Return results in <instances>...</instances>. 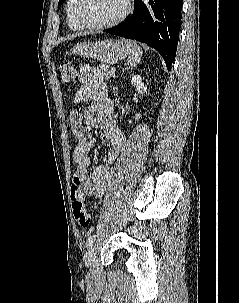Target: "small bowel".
<instances>
[{
    "instance_id": "1",
    "label": "small bowel",
    "mask_w": 239,
    "mask_h": 303,
    "mask_svg": "<svg viewBox=\"0 0 239 303\" xmlns=\"http://www.w3.org/2000/svg\"><path fill=\"white\" fill-rule=\"evenodd\" d=\"M80 83L81 85L74 96V103L80 105L85 102H93V105L84 115V122L87 126L96 124L101 126L112 147L107 155L108 163H112L124 148L126 136L116 123L113 103L108 97L107 84L99 70L88 64H83L80 67ZM70 124L75 137L72 161L76 166L72 187L79 188L91 197H103L110 178L109 167L99 165L93 170L91 176L89 175V154L95 139L80 128L77 114L74 111L70 115Z\"/></svg>"
}]
</instances>
